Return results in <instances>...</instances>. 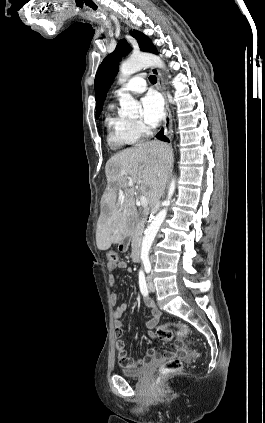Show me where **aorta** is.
<instances>
[{"label": "aorta", "instance_id": "762f6f07", "mask_svg": "<svg viewBox=\"0 0 265 423\" xmlns=\"http://www.w3.org/2000/svg\"><path fill=\"white\" fill-rule=\"evenodd\" d=\"M158 67L165 69V64L162 59L154 54L150 53H140L137 55H132L127 61H125L120 67V81H126L132 74L140 71L145 67ZM120 103V113L124 116H132L138 113L139 103L129 94L122 93L119 98ZM176 188V179L173 178L169 190L167 199L163 202L164 208L161 209L156 216L153 218L147 229L145 230L144 237L142 240L141 246V262L143 264L149 263V252L152 247L153 241L156 237L157 232L160 229V226L164 222L168 207L171 203L172 196Z\"/></svg>", "mask_w": 265, "mask_h": 423}]
</instances>
